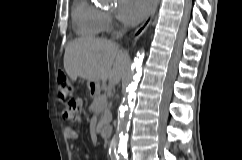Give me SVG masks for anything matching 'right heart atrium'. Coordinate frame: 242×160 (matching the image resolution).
Here are the masks:
<instances>
[{
	"instance_id": "1",
	"label": "right heart atrium",
	"mask_w": 242,
	"mask_h": 160,
	"mask_svg": "<svg viewBox=\"0 0 242 160\" xmlns=\"http://www.w3.org/2000/svg\"><path fill=\"white\" fill-rule=\"evenodd\" d=\"M106 28H109L112 24V18L109 14H105Z\"/></svg>"
}]
</instances>
